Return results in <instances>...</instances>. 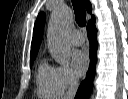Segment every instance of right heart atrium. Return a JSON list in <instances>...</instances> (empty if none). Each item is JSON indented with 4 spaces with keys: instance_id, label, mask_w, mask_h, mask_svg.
I'll list each match as a JSON object with an SVG mask.
<instances>
[{
    "instance_id": "1",
    "label": "right heart atrium",
    "mask_w": 128,
    "mask_h": 99,
    "mask_svg": "<svg viewBox=\"0 0 128 99\" xmlns=\"http://www.w3.org/2000/svg\"><path fill=\"white\" fill-rule=\"evenodd\" d=\"M55 73L58 85L63 92L77 86L78 78L68 65L55 67Z\"/></svg>"
}]
</instances>
